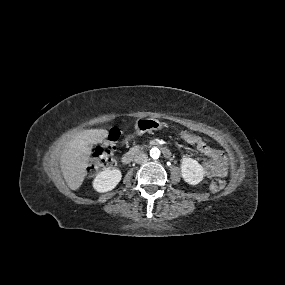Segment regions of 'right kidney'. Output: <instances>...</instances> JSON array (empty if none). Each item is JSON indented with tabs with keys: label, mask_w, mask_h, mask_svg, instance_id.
I'll list each match as a JSON object with an SVG mask.
<instances>
[{
	"label": "right kidney",
	"mask_w": 285,
	"mask_h": 285,
	"mask_svg": "<svg viewBox=\"0 0 285 285\" xmlns=\"http://www.w3.org/2000/svg\"><path fill=\"white\" fill-rule=\"evenodd\" d=\"M122 178L119 169H105L97 174L93 181V188L100 193L114 189Z\"/></svg>",
	"instance_id": "right-kidney-1"
}]
</instances>
